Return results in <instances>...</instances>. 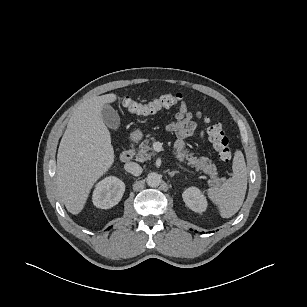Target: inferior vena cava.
<instances>
[{
  "instance_id": "inferior-vena-cava-1",
  "label": "inferior vena cava",
  "mask_w": 307,
  "mask_h": 307,
  "mask_svg": "<svg viewBox=\"0 0 307 307\" xmlns=\"http://www.w3.org/2000/svg\"><path fill=\"white\" fill-rule=\"evenodd\" d=\"M124 168L127 172L131 173L134 176L141 175L143 169L142 167L135 162H128L124 165Z\"/></svg>"
}]
</instances>
